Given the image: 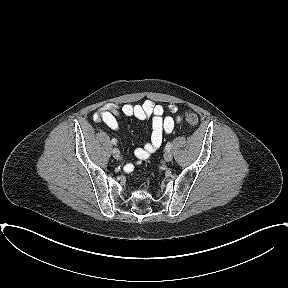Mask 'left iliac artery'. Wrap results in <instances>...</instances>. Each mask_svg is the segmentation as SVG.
Here are the masks:
<instances>
[{"mask_svg":"<svg viewBox=\"0 0 288 288\" xmlns=\"http://www.w3.org/2000/svg\"><path fill=\"white\" fill-rule=\"evenodd\" d=\"M171 147H172V143H171V142H168V143L166 144V147H165L166 151H170Z\"/></svg>","mask_w":288,"mask_h":288,"instance_id":"1","label":"left iliac artery"}]
</instances>
